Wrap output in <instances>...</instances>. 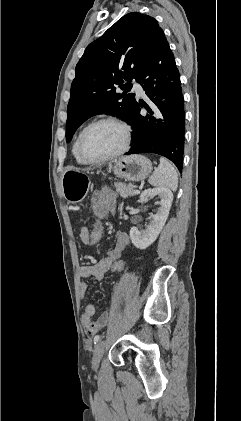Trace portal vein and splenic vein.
I'll return each mask as SVG.
<instances>
[{
	"label": "portal vein and splenic vein",
	"instance_id": "18ae733b",
	"mask_svg": "<svg viewBox=\"0 0 241 421\" xmlns=\"http://www.w3.org/2000/svg\"><path fill=\"white\" fill-rule=\"evenodd\" d=\"M134 193L139 194L140 191L139 190H134Z\"/></svg>",
	"mask_w": 241,
	"mask_h": 421
}]
</instances>
